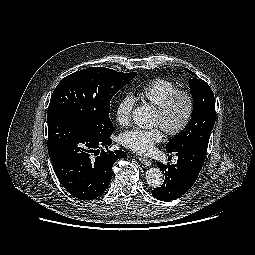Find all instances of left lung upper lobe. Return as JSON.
I'll use <instances>...</instances> for the list:
<instances>
[{
    "label": "left lung upper lobe",
    "instance_id": "5c2ea615",
    "mask_svg": "<svg viewBox=\"0 0 255 255\" xmlns=\"http://www.w3.org/2000/svg\"><path fill=\"white\" fill-rule=\"evenodd\" d=\"M187 72L194 74L186 69ZM194 108L186 130L175 136L166 146L168 153L197 147L207 151L211 131L215 124V98L209 85L197 78L189 81Z\"/></svg>",
    "mask_w": 255,
    "mask_h": 255
}]
</instances>
